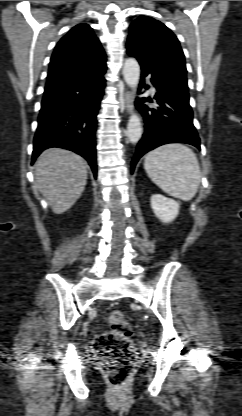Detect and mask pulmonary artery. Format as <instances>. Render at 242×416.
<instances>
[{
	"label": "pulmonary artery",
	"instance_id": "pulmonary-artery-1",
	"mask_svg": "<svg viewBox=\"0 0 242 416\" xmlns=\"http://www.w3.org/2000/svg\"><path fill=\"white\" fill-rule=\"evenodd\" d=\"M151 89H152V91H154V87H152Z\"/></svg>",
	"mask_w": 242,
	"mask_h": 416
}]
</instances>
